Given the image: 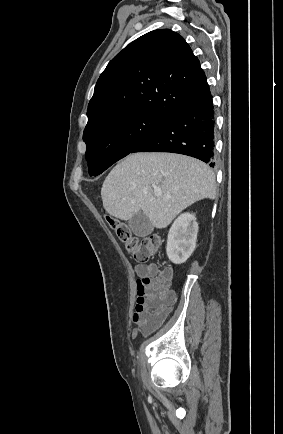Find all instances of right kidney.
<instances>
[{
  "instance_id": "1",
  "label": "right kidney",
  "mask_w": 283,
  "mask_h": 434,
  "mask_svg": "<svg viewBox=\"0 0 283 434\" xmlns=\"http://www.w3.org/2000/svg\"><path fill=\"white\" fill-rule=\"evenodd\" d=\"M198 223L194 214H181L172 224L167 239L166 252L175 264L184 263L196 247Z\"/></svg>"
}]
</instances>
